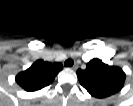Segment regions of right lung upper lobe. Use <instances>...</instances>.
I'll return each instance as SVG.
<instances>
[{
    "label": "right lung upper lobe",
    "mask_w": 133,
    "mask_h": 106,
    "mask_svg": "<svg viewBox=\"0 0 133 106\" xmlns=\"http://www.w3.org/2000/svg\"><path fill=\"white\" fill-rule=\"evenodd\" d=\"M61 63L37 60L30 68L16 76V82L26 91L33 92L50 85L62 70Z\"/></svg>",
    "instance_id": "cb5924a9"
}]
</instances>
